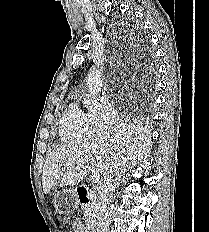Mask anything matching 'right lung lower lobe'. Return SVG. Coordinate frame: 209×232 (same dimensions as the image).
Wrapping results in <instances>:
<instances>
[{
	"label": "right lung lower lobe",
	"mask_w": 209,
	"mask_h": 232,
	"mask_svg": "<svg viewBox=\"0 0 209 232\" xmlns=\"http://www.w3.org/2000/svg\"><path fill=\"white\" fill-rule=\"evenodd\" d=\"M140 56L143 62H145V65L147 67L146 77H147V80H149L150 79L149 77H151L152 75V69L154 67V60H155L154 53L152 49H150L149 46H146L141 51Z\"/></svg>",
	"instance_id": "obj_1"
}]
</instances>
